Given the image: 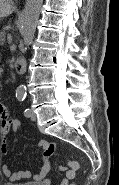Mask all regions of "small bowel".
Returning a JSON list of instances; mask_svg holds the SVG:
<instances>
[{"mask_svg":"<svg viewBox=\"0 0 119 185\" xmlns=\"http://www.w3.org/2000/svg\"><path fill=\"white\" fill-rule=\"evenodd\" d=\"M0 118L2 134L1 152L4 156H7L9 154L8 135L16 132L21 126V122L18 119L9 116L7 108L3 103H0ZM37 146L43 150V160L42 167L37 174L33 175V180L44 181V185H52L51 181L46 179V176L50 168L51 157L55 151L56 145L52 142L41 139L37 142ZM78 169L79 163L76 160H72L68 165L60 166V170L65 172V177L58 185H73L69 184V181L75 178ZM2 171L11 181H18L32 177V173L30 171L13 172L7 164L3 165Z\"/></svg>","mask_w":119,"mask_h":185,"instance_id":"obj_1","label":"small bowel"}]
</instances>
